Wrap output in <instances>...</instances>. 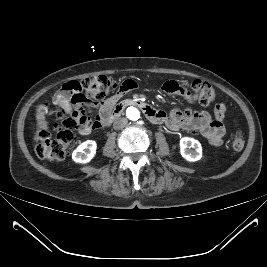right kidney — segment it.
<instances>
[{"mask_svg": "<svg viewBox=\"0 0 267 267\" xmlns=\"http://www.w3.org/2000/svg\"><path fill=\"white\" fill-rule=\"evenodd\" d=\"M97 144L94 140H87L73 151L72 159L76 163H88L95 156Z\"/></svg>", "mask_w": 267, "mask_h": 267, "instance_id": "right-kidney-1", "label": "right kidney"}]
</instances>
